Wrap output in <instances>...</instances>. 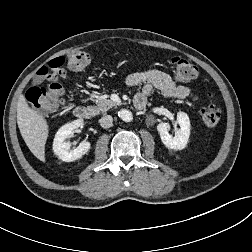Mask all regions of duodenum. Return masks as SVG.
Here are the masks:
<instances>
[{
  "instance_id": "obj_1",
  "label": "duodenum",
  "mask_w": 252,
  "mask_h": 252,
  "mask_svg": "<svg viewBox=\"0 0 252 252\" xmlns=\"http://www.w3.org/2000/svg\"><path fill=\"white\" fill-rule=\"evenodd\" d=\"M145 106V102H139L138 107L143 108ZM74 115L76 118L80 120H86L93 116V109L87 106H79L75 108Z\"/></svg>"
}]
</instances>
